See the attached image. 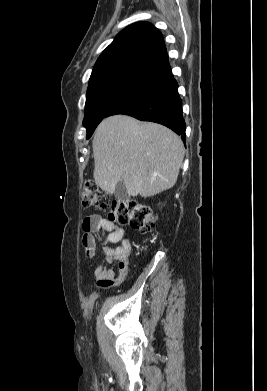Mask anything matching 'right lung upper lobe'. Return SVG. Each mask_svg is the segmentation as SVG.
Returning a JSON list of instances; mask_svg holds the SVG:
<instances>
[{
	"mask_svg": "<svg viewBox=\"0 0 267 391\" xmlns=\"http://www.w3.org/2000/svg\"><path fill=\"white\" fill-rule=\"evenodd\" d=\"M169 67L162 34L148 22L134 23L115 37L97 59L89 81L113 73L154 76Z\"/></svg>",
	"mask_w": 267,
	"mask_h": 391,
	"instance_id": "right-lung-upper-lobe-1",
	"label": "right lung upper lobe"
}]
</instances>
